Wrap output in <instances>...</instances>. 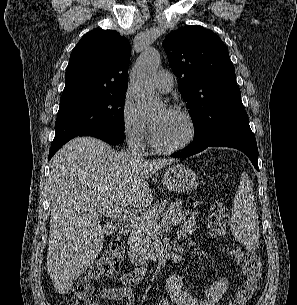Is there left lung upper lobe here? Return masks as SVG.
<instances>
[{"mask_svg":"<svg viewBox=\"0 0 297 305\" xmlns=\"http://www.w3.org/2000/svg\"><path fill=\"white\" fill-rule=\"evenodd\" d=\"M163 47L195 124L194 140L244 112L234 66L214 32L199 25L184 26L169 34Z\"/></svg>","mask_w":297,"mask_h":305,"instance_id":"left-lung-upper-lobe-1","label":"left lung upper lobe"}]
</instances>
